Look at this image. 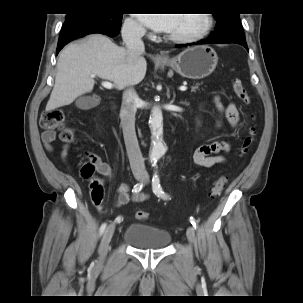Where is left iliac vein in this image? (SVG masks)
I'll use <instances>...</instances> for the list:
<instances>
[{"label":"left iliac vein","instance_id":"4c4485c4","mask_svg":"<svg viewBox=\"0 0 303 303\" xmlns=\"http://www.w3.org/2000/svg\"><path fill=\"white\" fill-rule=\"evenodd\" d=\"M143 182H145V183L148 182V175H145L143 177ZM187 238L191 244L194 243L195 238H196V232H195V228L193 226L188 227Z\"/></svg>","mask_w":303,"mask_h":303}]
</instances>
